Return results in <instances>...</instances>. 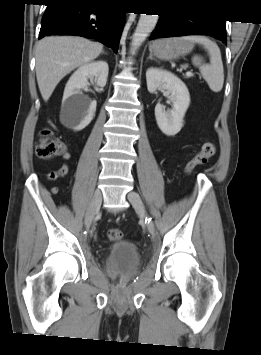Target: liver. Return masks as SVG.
I'll use <instances>...</instances> for the list:
<instances>
[{"mask_svg": "<svg viewBox=\"0 0 261 355\" xmlns=\"http://www.w3.org/2000/svg\"><path fill=\"white\" fill-rule=\"evenodd\" d=\"M103 45L82 37L51 36L36 47V77L44 101H48L57 84L75 68L96 59Z\"/></svg>", "mask_w": 261, "mask_h": 355, "instance_id": "liver-1", "label": "liver"}]
</instances>
